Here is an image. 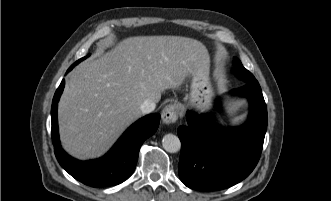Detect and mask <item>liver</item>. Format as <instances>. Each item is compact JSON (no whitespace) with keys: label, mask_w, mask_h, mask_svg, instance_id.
<instances>
[{"label":"liver","mask_w":331,"mask_h":201,"mask_svg":"<svg viewBox=\"0 0 331 201\" xmlns=\"http://www.w3.org/2000/svg\"><path fill=\"white\" fill-rule=\"evenodd\" d=\"M207 61L206 47L195 39L138 36L82 62L68 75L59 101L64 150L80 160L100 157L142 116L146 99L159 102L164 90L182 85Z\"/></svg>","instance_id":"liver-1"}]
</instances>
